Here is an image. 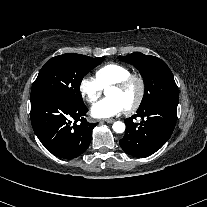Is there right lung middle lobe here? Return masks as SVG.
<instances>
[{"label": "right lung middle lobe", "instance_id": "1", "mask_svg": "<svg viewBox=\"0 0 207 207\" xmlns=\"http://www.w3.org/2000/svg\"><path fill=\"white\" fill-rule=\"evenodd\" d=\"M104 58L67 53L51 58L40 70L31 90V98L55 95L72 103H83L80 84L83 77Z\"/></svg>", "mask_w": 207, "mask_h": 207}]
</instances>
